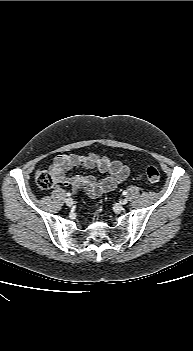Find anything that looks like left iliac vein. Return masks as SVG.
Listing matches in <instances>:
<instances>
[{
    "label": "left iliac vein",
    "instance_id": "1",
    "mask_svg": "<svg viewBox=\"0 0 193 351\" xmlns=\"http://www.w3.org/2000/svg\"><path fill=\"white\" fill-rule=\"evenodd\" d=\"M127 202H128L127 199H124V200H122L121 204L125 205V204H127Z\"/></svg>",
    "mask_w": 193,
    "mask_h": 351
}]
</instances>
